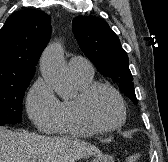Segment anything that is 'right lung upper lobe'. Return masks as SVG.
<instances>
[{"instance_id": "1", "label": "right lung upper lobe", "mask_w": 168, "mask_h": 162, "mask_svg": "<svg viewBox=\"0 0 168 162\" xmlns=\"http://www.w3.org/2000/svg\"><path fill=\"white\" fill-rule=\"evenodd\" d=\"M51 18L25 9L11 14L0 29V83L31 77L50 39Z\"/></svg>"}]
</instances>
